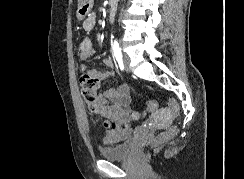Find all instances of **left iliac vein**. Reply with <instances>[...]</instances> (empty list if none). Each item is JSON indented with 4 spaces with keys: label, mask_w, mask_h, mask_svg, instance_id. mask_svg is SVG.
<instances>
[{
    "label": "left iliac vein",
    "mask_w": 244,
    "mask_h": 179,
    "mask_svg": "<svg viewBox=\"0 0 244 179\" xmlns=\"http://www.w3.org/2000/svg\"><path fill=\"white\" fill-rule=\"evenodd\" d=\"M123 64H124V68L127 70V71H130V58L128 55H123Z\"/></svg>",
    "instance_id": "4c4485c4"
}]
</instances>
